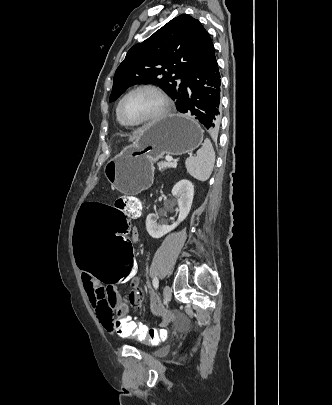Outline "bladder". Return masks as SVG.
<instances>
[{
  "label": "bladder",
  "mask_w": 332,
  "mask_h": 405,
  "mask_svg": "<svg viewBox=\"0 0 332 405\" xmlns=\"http://www.w3.org/2000/svg\"><path fill=\"white\" fill-rule=\"evenodd\" d=\"M168 353L167 347H161L153 352V355L156 357H163Z\"/></svg>",
  "instance_id": "obj_1"
}]
</instances>
